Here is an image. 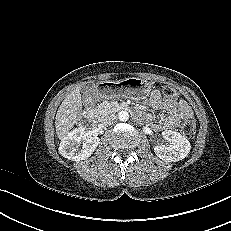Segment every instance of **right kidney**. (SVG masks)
Wrapping results in <instances>:
<instances>
[{
  "instance_id": "right-kidney-1",
  "label": "right kidney",
  "mask_w": 231,
  "mask_h": 231,
  "mask_svg": "<svg viewBox=\"0 0 231 231\" xmlns=\"http://www.w3.org/2000/svg\"><path fill=\"white\" fill-rule=\"evenodd\" d=\"M83 145L80 147V144ZM100 139L85 131L84 126H79L69 132L61 141L59 146V153L72 161H81L88 159L95 151Z\"/></svg>"
}]
</instances>
